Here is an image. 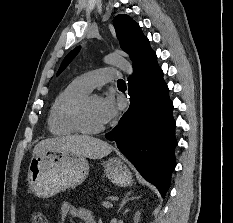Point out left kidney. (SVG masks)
Returning a JSON list of instances; mask_svg holds the SVG:
<instances>
[{
  "instance_id": "obj_1",
  "label": "left kidney",
  "mask_w": 233,
  "mask_h": 223,
  "mask_svg": "<svg viewBox=\"0 0 233 223\" xmlns=\"http://www.w3.org/2000/svg\"><path fill=\"white\" fill-rule=\"evenodd\" d=\"M139 217H140V211H136V213H135V217H134V219H135V223H138V219H139Z\"/></svg>"
}]
</instances>
